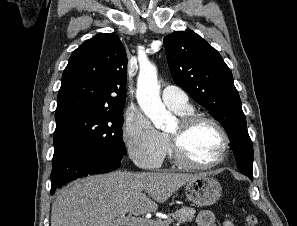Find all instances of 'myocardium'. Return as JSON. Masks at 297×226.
<instances>
[{
    "mask_svg": "<svg viewBox=\"0 0 297 226\" xmlns=\"http://www.w3.org/2000/svg\"><path fill=\"white\" fill-rule=\"evenodd\" d=\"M207 122L215 126L223 137V147L219 157L208 164H200L195 162L188 155L185 146H184V137L193 128L199 123ZM179 132L177 134L167 133V140L173 155L175 162L183 167L197 170H206L212 169L220 165L226 158L227 152L230 147V137L226 129L222 124L217 121L215 118L203 115V114H191L187 116H182L178 120Z\"/></svg>",
    "mask_w": 297,
    "mask_h": 226,
    "instance_id": "obj_1",
    "label": "myocardium"
}]
</instances>
